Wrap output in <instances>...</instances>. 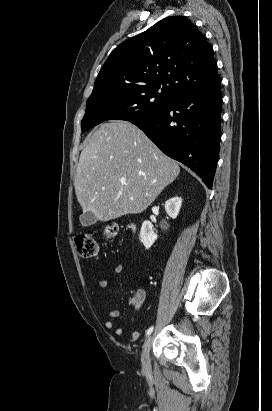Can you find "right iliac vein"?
<instances>
[{"mask_svg": "<svg viewBox=\"0 0 272 411\" xmlns=\"http://www.w3.org/2000/svg\"><path fill=\"white\" fill-rule=\"evenodd\" d=\"M152 345V336H148L144 342L143 349H142V367L145 371L150 369V349Z\"/></svg>", "mask_w": 272, "mask_h": 411, "instance_id": "obj_1", "label": "right iliac vein"}]
</instances>
